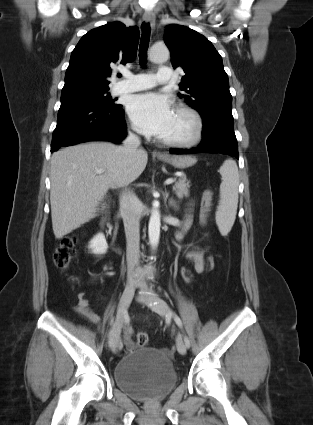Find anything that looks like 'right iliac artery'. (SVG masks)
Segmentation results:
<instances>
[{
  "instance_id": "82829eb1",
  "label": "right iliac artery",
  "mask_w": 313,
  "mask_h": 425,
  "mask_svg": "<svg viewBox=\"0 0 313 425\" xmlns=\"http://www.w3.org/2000/svg\"><path fill=\"white\" fill-rule=\"evenodd\" d=\"M114 326H115V324L113 325V327H114ZM111 332H112V330L110 331V333H111ZM110 333H109V334H110Z\"/></svg>"
}]
</instances>
